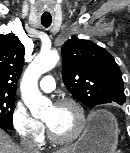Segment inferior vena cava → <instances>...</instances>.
<instances>
[{
    "mask_svg": "<svg viewBox=\"0 0 130 153\" xmlns=\"http://www.w3.org/2000/svg\"><path fill=\"white\" fill-rule=\"evenodd\" d=\"M21 145L23 153H39V148L31 139H24Z\"/></svg>",
    "mask_w": 130,
    "mask_h": 153,
    "instance_id": "602c4592",
    "label": "inferior vena cava"
}]
</instances>
